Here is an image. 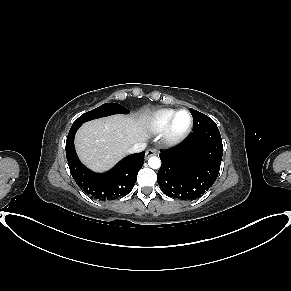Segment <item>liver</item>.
Returning <instances> with one entry per match:
<instances>
[{"instance_id": "1", "label": "liver", "mask_w": 291, "mask_h": 291, "mask_svg": "<svg viewBox=\"0 0 291 291\" xmlns=\"http://www.w3.org/2000/svg\"><path fill=\"white\" fill-rule=\"evenodd\" d=\"M151 111L131 116L114 115L83 124L75 138L81 161L94 171L115 165L136 143L149 138Z\"/></svg>"}]
</instances>
